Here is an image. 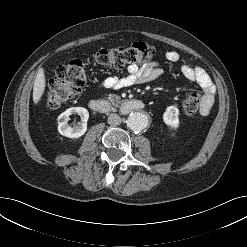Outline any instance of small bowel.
Masks as SVG:
<instances>
[{
    "label": "small bowel",
    "mask_w": 247,
    "mask_h": 247,
    "mask_svg": "<svg viewBox=\"0 0 247 247\" xmlns=\"http://www.w3.org/2000/svg\"><path fill=\"white\" fill-rule=\"evenodd\" d=\"M165 57L170 62H179L180 55L176 51H168ZM182 75L190 82L195 83L202 91L199 113L206 116L210 113L216 95V89L206 71L197 66H191L186 63L180 65ZM163 71L158 63H148L142 66L132 64L128 67L124 76H112L104 79L101 87L105 89L118 90L135 84H142L155 81L161 77Z\"/></svg>",
    "instance_id": "small-bowel-1"
}]
</instances>
